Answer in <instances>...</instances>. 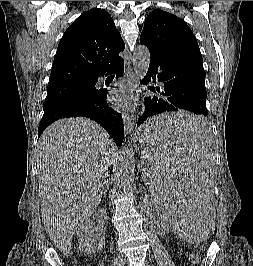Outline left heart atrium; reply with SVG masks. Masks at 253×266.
<instances>
[{"instance_id": "left-heart-atrium-1", "label": "left heart atrium", "mask_w": 253, "mask_h": 266, "mask_svg": "<svg viewBox=\"0 0 253 266\" xmlns=\"http://www.w3.org/2000/svg\"><path fill=\"white\" fill-rule=\"evenodd\" d=\"M110 101L114 106L122 109H131L137 101V94L130 87L114 90L110 95Z\"/></svg>"}]
</instances>
